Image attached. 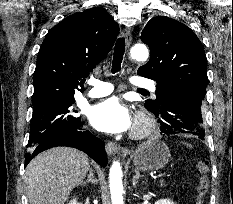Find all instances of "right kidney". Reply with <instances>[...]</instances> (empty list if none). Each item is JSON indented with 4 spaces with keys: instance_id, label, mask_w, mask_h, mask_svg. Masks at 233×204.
I'll use <instances>...</instances> for the list:
<instances>
[{
    "instance_id": "right-kidney-1",
    "label": "right kidney",
    "mask_w": 233,
    "mask_h": 204,
    "mask_svg": "<svg viewBox=\"0 0 233 204\" xmlns=\"http://www.w3.org/2000/svg\"><path fill=\"white\" fill-rule=\"evenodd\" d=\"M68 204H80V203L77 202V199H73Z\"/></svg>"
}]
</instances>
